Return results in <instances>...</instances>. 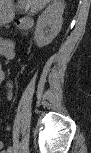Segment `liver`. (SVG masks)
I'll list each match as a JSON object with an SVG mask.
<instances>
[{"instance_id":"liver-1","label":"liver","mask_w":91,"mask_h":153,"mask_svg":"<svg viewBox=\"0 0 91 153\" xmlns=\"http://www.w3.org/2000/svg\"><path fill=\"white\" fill-rule=\"evenodd\" d=\"M49 0H21V5L30 8L32 13H36L42 9Z\"/></svg>"}]
</instances>
